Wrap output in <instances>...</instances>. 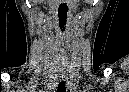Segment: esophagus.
<instances>
[{"label":"esophagus","mask_w":129,"mask_h":92,"mask_svg":"<svg viewBox=\"0 0 129 92\" xmlns=\"http://www.w3.org/2000/svg\"><path fill=\"white\" fill-rule=\"evenodd\" d=\"M61 79H63L64 78V74H60V76H59Z\"/></svg>","instance_id":"1"}]
</instances>
